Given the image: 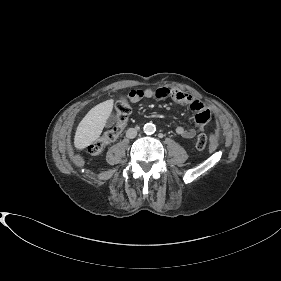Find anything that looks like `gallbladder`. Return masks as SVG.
<instances>
[{"instance_id":"gallbladder-1","label":"gallbladder","mask_w":281,"mask_h":281,"mask_svg":"<svg viewBox=\"0 0 281 281\" xmlns=\"http://www.w3.org/2000/svg\"><path fill=\"white\" fill-rule=\"evenodd\" d=\"M115 122H116V118L115 117H110L106 121V126L107 127H111L113 124H115Z\"/></svg>"}]
</instances>
